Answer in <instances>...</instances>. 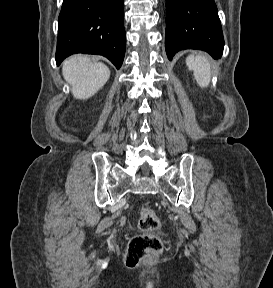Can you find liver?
I'll use <instances>...</instances> for the list:
<instances>
[{
  "instance_id": "1",
  "label": "liver",
  "mask_w": 273,
  "mask_h": 288,
  "mask_svg": "<svg viewBox=\"0 0 273 288\" xmlns=\"http://www.w3.org/2000/svg\"><path fill=\"white\" fill-rule=\"evenodd\" d=\"M62 73L71 85L77 99H88L95 95L108 81L109 68L101 63H92L88 57L73 56L63 64Z\"/></svg>"
}]
</instances>
